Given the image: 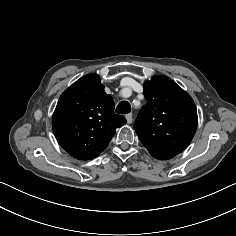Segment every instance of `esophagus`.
<instances>
[{
    "instance_id": "obj_1",
    "label": "esophagus",
    "mask_w": 236,
    "mask_h": 236,
    "mask_svg": "<svg viewBox=\"0 0 236 236\" xmlns=\"http://www.w3.org/2000/svg\"><path fill=\"white\" fill-rule=\"evenodd\" d=\"M125 118H126L128 124L132 123V120H133L132 113L126 114Z\"/></svg>"
}]
</instances>
